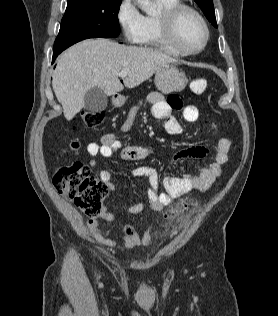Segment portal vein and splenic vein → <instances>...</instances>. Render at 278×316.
<instances>
[{"label": "portal vein and splenic vein", "mask_w": 278, "mask_h": 316, "mask_svg": "<svg viewBox=\"0 0 278 316\" xmlns=\"http://www.w3.org/2000/svg\"><path fill=\"white\" fill-rule=\"evenodd\" d=\"M126 76H127V72L126 71H121L119 73V77H121V78H125Z\"/></svg>", "instance_id": "18ae733b"}]
</instances>
